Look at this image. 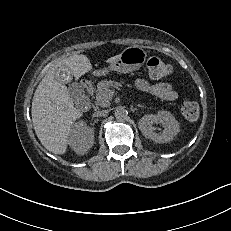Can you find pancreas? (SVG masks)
<instances>
[{
	"label": "pancreas",
	"instance_id": "obj_1",
	"mask_svg": "<svg viewBox=\"0 0 231 231\" xmlns=\"http://www.w3.org/2000/svg\"><path fill=\"white\" fill-rule=\"evenodd\" d=\"M122 86V82H116L112 80H102L97 84L96 90V105L101 107H109L110 101L112 100V95L109 94L111 88L119 89Z\"/></svg>",
	"mask_w": 231,
	"mask_h": 231
}]
</instances>
